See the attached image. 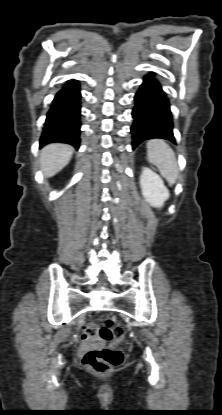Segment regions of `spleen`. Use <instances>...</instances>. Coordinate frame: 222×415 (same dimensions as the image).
<instances>
[{
  "label": "spleen",
  "mask_w": 222,
  "mask_h": 415,
  "mask_svg": "<svg viewBox=\"0 0 222 415\" xmlns=\"http://www.w3.org/2000/svg\"><path fill=\"white\" fill-rule=\"evenodd\" d=\"M147 156L150 163L155 165L170 185L175 184L179 169L174 151L162 139H152L147 142Z\"/></svg>",
  "instance_id": "obj_1"
}]
</instances>
